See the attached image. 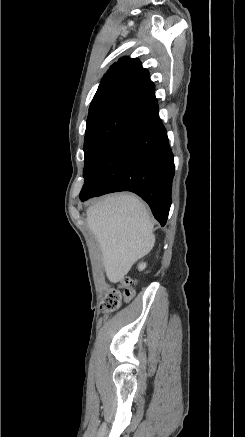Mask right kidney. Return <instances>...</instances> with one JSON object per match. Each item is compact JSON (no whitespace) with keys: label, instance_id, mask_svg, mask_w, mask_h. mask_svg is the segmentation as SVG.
Wrapping results in <instances>:
<instances>
[{"label":"right kidney","instance_id":"right-kidney-1","mask_svg":"<svg viewBox=\"0 0 245 437\" xmlns=\"http://www.w3.org/2000/svg\"><path fill=\"white\" fill-rule=\"evenodd\" d=\"M145 267H146V264H145V263H142V264L139 265V269H140V270H143Z\"/></svg>","mask_w":245,"mask_h":437}]
</instances>
